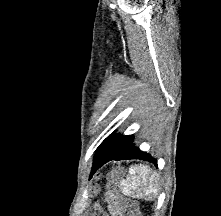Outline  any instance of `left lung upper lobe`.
Wrapping results in <instances>:
<instances>
[{
    "label": "left lung upper lobe",
    "mask_w": 221,
    "mask_h": 216,
    "mask_svg": "<svg viewBox=\"0 0 221 216\" xmlns=\"http://www.w3.org/2000/svg\"><path fill=\"white\" fill-rule=\"evenodd\" d=\"M133 139V135L123 136L112 133L98 147L97 150H106L112 153L122 151Z\"/></svg>",
    "instance_id": "5c2ea615"
}]
</instances>
